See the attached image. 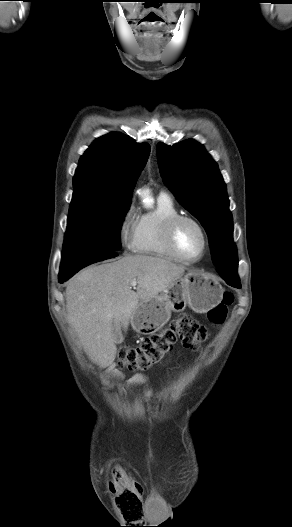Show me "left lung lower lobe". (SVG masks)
Here are the masks:
<instances>
[{
    "mask_svg": "<svg viewBox=\"0 0 292 527\" xmlns=\"http://www.w3.org/2000/svg\"><path fill=\"white\" fill-rule=\"evenodd\" d=\"M218 273L222 277V279L225 280L227 284H229L230 286L235 287V288H241V285L239 282L240 279L237 274V271L219 269Z\"/></svg>",
    "mask_w": 292,
    "mask_h": 527,
    "instance_id": "0a47b994",
    "label": "left lung lower lobe"
}]
</instances>
